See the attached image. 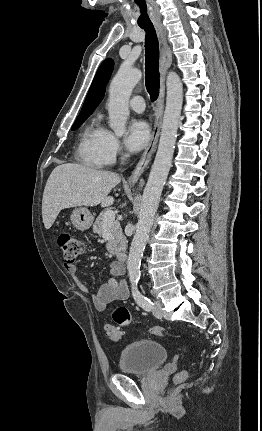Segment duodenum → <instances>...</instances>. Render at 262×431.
Listing matches in <instances>:
<instances>
[{"instance_id": "410a0bca", "label": "duodenum", "mask_w": 262, "mask_h": 431, "mask_svg": "<svg viewBox=\"0 0 262 431\" xmlns=\"http://www.w3.org/2000/svg\"><path fill=\"white\" fill-rule=\"evenodd\" d=\"M118 261L124 264L127 261V255L125 253H121L118 257Z\"/></svg>"}]
</instances>
